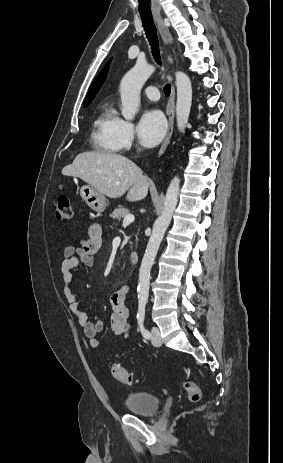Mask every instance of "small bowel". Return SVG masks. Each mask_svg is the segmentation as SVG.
<instances>
[{
	"mask_svg": "<svg viewBox=\"0 0 283 463\" xmlns=\"http://www.w3.org/2000/svg\"><path fill=\"white\" fill-rule=\"evenodd\" d=\"M101 243L102 227L99 223L93 222L88 228L86 238L82 239L78 245L68 246L64 249V260L61 267L64 284L63 293L69 310L83 328L84 334L89 339L90 346L93 348L100 346L99 334L104 331L105 326L98 317L90 319L87 312L81 307L72 289L73 270L79 263H83L87 267H92L95 263L94 256L100 250ZM128 291V286L124 285L110 296L112 307L109 320L110 330L113 334L124 338L129 337L131 331V313L126 305Z\"/></svg>",
	"mask_w": 283,
	"mask_h": 463,
	"instance_id": "1",
	"label": "small bowel"
}]
</instances>
